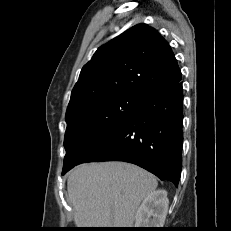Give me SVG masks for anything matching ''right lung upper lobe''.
Listing matches in <instances>:
<instances>
[{
    "label": "right lung upper lobe",
    "mask_w": 231,
    "mask_h": 231,
    "mask_svg": "<svg viewBox=\"0 0 231 231\" xmlns=\"http://www.w3.org/2000/svg\"><path fill=\"white\" fill-rule=\"evenodd\" d=\"M181 71L168 42L147 24H138L102 45L84 65L67 113L117 96L172 87Z\"/></svg>",
    "instance_id": "cb5924a9"
}]
</instances>
